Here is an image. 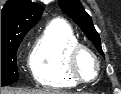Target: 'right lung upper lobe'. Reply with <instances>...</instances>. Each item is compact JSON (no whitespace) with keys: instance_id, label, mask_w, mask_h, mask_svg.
Returning a JSON list of instances; mask_svg holds the SVG:
<instances>
[{"instance_id":"cb5924a9","label":"right lung upper lobe","mask_w":121,"mask_h":94,"mask_svg":"<svg viewBox=\"0 0 121 94\" xmlns=\"http://www.w3.org/2000/svg\"><path fill=\"white\" fill-rule=\"evenodd\" d=\"M44 8L29 0H8L1 9V38L29 31L41 19Z\"/></svg>"}]
</instances>
